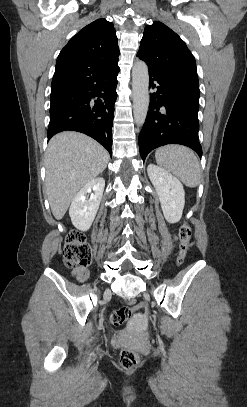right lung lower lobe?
Here are the masks:
<instances>
[{
    "label": "right lung lower lobe",
    "instance_id": "98d812e1",
    "mask_svg": "<svg viewBox=\"0 0 247 407\" xmlns=\"http://www.w3.org/2000/svg\"><path fill=\"white\" fill-rule=\"evenodd\" d=\"M119 71L118 64L99 70L79 86L51 97L48 140L61 131H78L97 140L112 155V125ZM95 97L98 98L92 103Z\"/></svg>",
    "mask_w": 247,
    "mask_h": 407
}]
</instances>
